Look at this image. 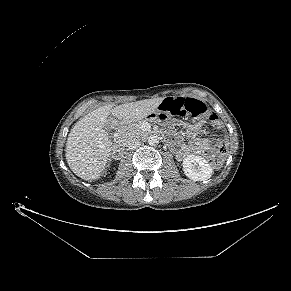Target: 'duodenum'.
<instances>
[{
    "mask_svg": "<svg viewBox=\"0 0 291 291\" xmlns=\"http://www.w3.org/2000/svg\"><path fill=\"white\" fill-rule=\"evenodd\" d=\"M153 135H160V132H153ZM124 151V142L122 140H117L113 147V157L115 159H120Z\"/></svg>",
    "mask_w": 291,
    "mask_h": 291,
    "instance_id": "duodenum-1",
    "label": "duodenum"
}]
</instances>
